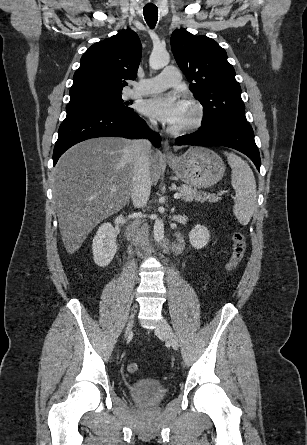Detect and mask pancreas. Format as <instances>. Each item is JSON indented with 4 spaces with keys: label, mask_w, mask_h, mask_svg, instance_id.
Instances as JSON below:
<instances>
[{
    "label": "pancreas",
    "mask_w": 307,
    "mask_h": 445,
    "mask_svg": "<svg viewBox=\"0 0 307 445\" xmlns=\"http://www.w3.org/2000/svg\"><path fill=\"white\" fill-rule=\"evenodd\" d=\"M178 190L183 194L182 200H186V202H191V200H199V202H205V200H209V202H218L220 198L218 194L199 192L198 188L189 186V184H181V186H178Z\"/></svg>",
    "instance_id": "pancreas-1"
}]
</instances>
